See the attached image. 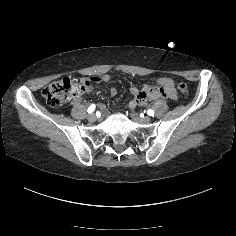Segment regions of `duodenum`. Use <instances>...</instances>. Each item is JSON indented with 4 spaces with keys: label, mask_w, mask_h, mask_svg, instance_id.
Masks as SVG:
<instances>
[{
    "label": "duodenum",
    "mask_w": 236,
    "mask_h": 236,
    "mask_svg": "<svg viewBox=\"0 0 236 236\" xmlns=\"http://www.w3.org/2000/svg\"><path fill=\"white\" fill-rule=\"evenodd\" d=\"M147 94L152 96L154 99L157 98H164V97H173V91L169 83H162V87L155 91L150 92L149 90H146V92L136 94L137 99H145L147 97Z\"/></svg>",
    "instance_id": "410a0bca"
}]
</instances>
